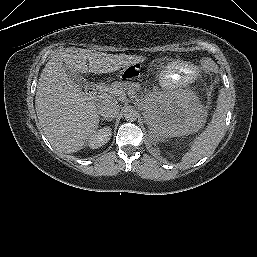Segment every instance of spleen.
<instances>
[{
  "label": "spleen",
  "instance_id": "spleen-1",
  "mask_svg": "<svg viewBox=\"0 0 257 257\" xmlns=\"http://www.w3.org/2000/svg\"><path fill=\"white\" fill-rule=\"evenodd\" d=\"M228 104L223 91H220L216 109L205 130L191 143L183 155V164H194L202 157L212 153L222 139Z\"/></svg>",
  "mask_w": 257,
  "mask_h": 257
}]
</instances>
